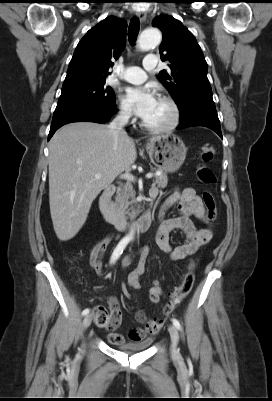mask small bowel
Segmentation results:
<instances>
[{
  "label": "small bowel",
  "mask_w": 272,
  "mask_h": 401,
  "mask_svg": "<svg viewBox=\"0 0 272 401\" xmlns=\"http://www.w3.org/2000/svg\"><path fill=\"white\" fill-rule=\"evenodd\" d=\"M150 195L156 198L158 190L156 188L151 189ZM172 207H176L178 215L170 219H163L165 212ZM159 216L161 221L156 234V244L162 251L169 254L172 261L187 259L204 246L212 237L213 231L211 228L197 229L191 220V217L194 216L206 222L203 202L193 188L187 187L173 191L164 202ZM176 230L185 234L186 241L181 245L173 247L170 244L169 237ZM110 241L111 236L100 239L94 244L89 253L90 265L100 275L103 274L102 259ZM148 254L149 249L146 246L139 248L136 252L135 256L139 257V262L137 267L127 276L126 284L129 287L133 289L141 287V275L145 271ZM133 257H126L122 262V267L126 268L129 266ZM191 267L192 264L189 263V268ZM162 290L160 281H153L148 291V298L152 304L159 302ZM122 292L126 298L131 297L125 284L122 285ZM108 307L112 314L111 325L107 327L111 331L108 334V338L113 344L123 343L126 339L132 342L143 341L148 335L156 334L161 328V323L146 322L139 317L144 327L131 329L125 338L114 332L121 323V309L118 300L114 297H109Z\"/></svg>",
  "instance_id": "1"
}]
</instances>
